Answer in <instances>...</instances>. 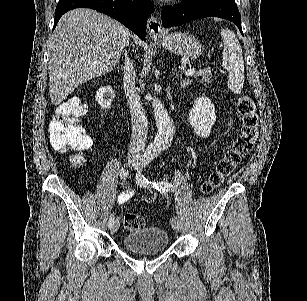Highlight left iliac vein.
I'll use <instances>...</instances> for the list:
<instances>
[{
    "mask_svg": "<svg viewBox=\"0 0 307 301\" xmlns=\"http://www.w3.org/2000/svg\"><path fill=\"white\" fill-rule=\"evenodd\" d=\"M139 171H142V168H138ZM172 228L176 233L180 231L181 221L178 215H174L171 219Z\"/></svg>",
    "mask_w": 307,
    "mask_h": 301,
    "instance_id": "1",
    "label": "left iliac vein"
}]
</instances>
